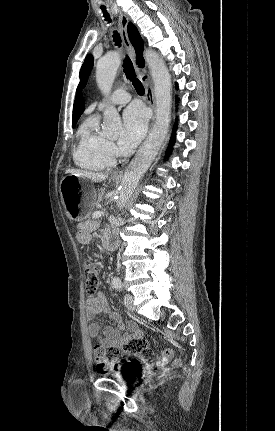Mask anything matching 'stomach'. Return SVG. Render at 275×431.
Here are the masks:
<instances>
[{"label": "stomach", "instance_id": "obj_1", "mask_svg": "<svg viewBox=\"0 0 275 431\" xmlns=\"http://www.w3.org/2000/svg\"><path fill=\"white\" fill-rule=\"evenodd\" d=\"M117 181V178H112ZM81 186V189L79 188ZM61 199L67 215L71 220L86 219L95 200V190L84 186V178L69 174L60 183Z\"/></svg>", "mask_w": 275, "mask_h": 431}]
</instances>
